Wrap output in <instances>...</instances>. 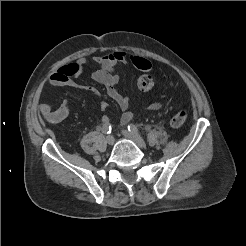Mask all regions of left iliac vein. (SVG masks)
<instances>
[{"mask_svg":"<svg viewBox=\"0 0 246 246\" xmlns=\"http://www.w3.org/2000/svg\"><path fill=\"white\" fill-rule=\"evenodd\" d=\"M122 134L127 138L132 140L139 148H145V141L135 133H131L128 130H122Z\"/></svg>","mask_w":246,"mask_h":246,"instance_id":"obj_1","label":"left iliac vein"}]
</instances>
